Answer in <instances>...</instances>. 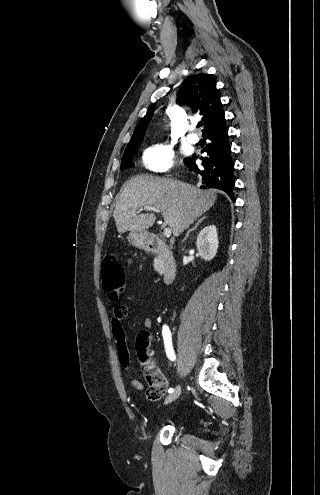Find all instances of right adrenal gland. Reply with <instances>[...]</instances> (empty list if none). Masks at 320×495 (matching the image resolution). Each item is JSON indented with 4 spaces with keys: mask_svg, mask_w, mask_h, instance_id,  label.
<instances>
[{
    "mask_svg": "<svg viewBox=\"0 0 320 495\" xmlns=\"http://www.w3.org/2000/svg\"><path fill=\"white\" fill-rule=\"evenodd\" d=\"M205 219H206V216H204V217H202V218L198 219V221L195 223V225H194L191 229H189V230H188V232H187V234H186L185 238L183 239V242H184V241H185V240L189 237V234H190L192 231H194V230H195V229H196V228L200 225V223H202V221H203V220H205Z\"/></svg>",
    "mask_w": 320,
    "mask_h": 495,
    "instance_id": "obj_1",
    "label": "right adrenal gland"
}]
</instances>
